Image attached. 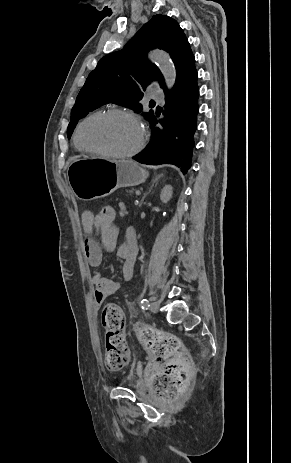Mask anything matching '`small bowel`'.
I'll list each match as a JSON object with an SVG mask.
<instances>
[{
    "label": "small bowel",
    "instance_id": "obj_1",
    "mask_svg": "<svg viewBox=\"0 0 291 463\" xmlns=\"http://www.w3.org/2000/svg\"><path fill=\"white\" fill-rule=\"evenodd\" d=\"M81 223L85 234L84 253L89 265L96 268L101 264L103 249L107 252H115L118 258L124 260L121 269L122 280L124 283H130L134 277L138 253L134 229L128 228L125 241L118 244L119 230L115 223L113 226H107V230L100 231L96 223V214L91 211L82 213ZM96 232L100 236L101 245L95 239ZM91 283L94 286V299L97 306H100L107 297L115 294L120 288L119 282L109 279L98 271L92 273Z\"/></svg>",
    "mask_w": 291,
    "mask_h": 463
}]
</instances>
